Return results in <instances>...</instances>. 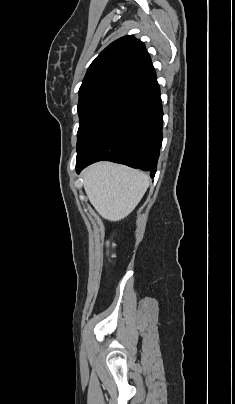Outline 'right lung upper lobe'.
Masks as SVG:
<instances>
[{
  "instance_id": "1",
  "label": "right lung upper lobe",
  "mask_w": 235,
  "mask_h": 404,
  "mask_svg": "<svg viewBox=\"0 0 235 404\" xmlns=\"http://www.w3.org/2000/svg\"><path fill=\"white\" fill-rule=\"evenodd\" d=\"M152 71L154 67L145 45L134 36L127 35L112 42L96 57L80 90L101 83L130 84Z\"/></svg>"
}]
</instances>
